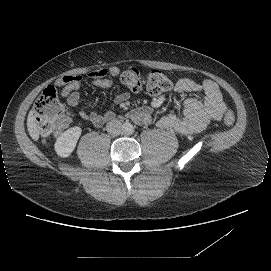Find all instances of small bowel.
<instances>
[{"label":"small bowel","instance_id":"small-bowel-1","mask_svg":"<svg viewBox=\"0 0 271 271\" xmlns=\"http://www.w3.org/2000/svg\"><path fill=\"white\" fill-rule=\"evenodd\" d=\"M118 74L119 69L111 67L108 70L93 71L89 76L94 86L109 88L113 84V77ZM81 85L82 77L80 75H66L55 82V86L60 88L61 96L72 107L79 104ZM174 93L189 94V96L182 101L179 112L168 113L157 120L160 128L173 129L184 135L198 133L211 122L220 120L226 110L219 86L211 80L198 83L189 78H182L176 83ZM129 98V92H122L115 97V102L121 104ZM81 117L84 122H91L94 126L100 127L113 117V113L111 111L102 113L82 111ZM132 117L137 123L147 124L151 120L152 111L150 108L143 107L136 110Z\"/></svg>","mask_w":271,"mask_h":271}]
</instances>
